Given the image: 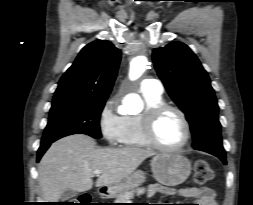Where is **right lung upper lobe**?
<instances>
[{
	"mask_svg": "<svg viewBox=\"0 0 253 205\" xmlns=\"http://www.w3.org/2000/svg\"><path fill=\"white\" fill-rule=\"evenodd\" d=\"M120 59L121 51L109 41L89 43L60 79L53 101L108 98Z\"/></svg>",
	"mask_w": 253,
	"mask_h": 205,
	"instance_id": "cb5924a9",
	"label": "right lung upper lobe"
}]
</instances>
